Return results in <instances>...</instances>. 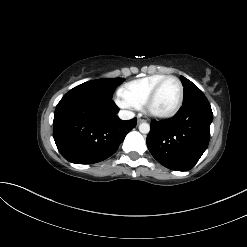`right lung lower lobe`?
Instances as JSON below:
<instances>
[{
    "instance_id": "obj_1",
    "label": "right lung lower lobe",
    "mask_w": 247,
    "mask_h": 247,
    "mask_svg": "<svg viewBox=\"0 0 247 247\" xmlns=\"http://www.w3.org/2000/svg\"><path fill=\"white\" fill-rule=\"evenodd\" d=\"M110 97L69 91L54 113L53 137L62 156L76 164H93L116 152L136 126V118L123 121Z\"/></svg>"
}]
</instances>
